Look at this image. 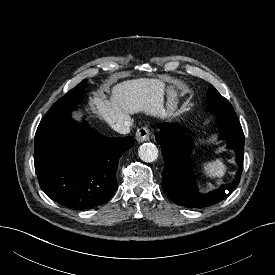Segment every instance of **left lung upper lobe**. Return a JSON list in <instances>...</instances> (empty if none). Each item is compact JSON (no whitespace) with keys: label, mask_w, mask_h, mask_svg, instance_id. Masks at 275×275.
<instances>
[{"label":"left lung upper lobe","mask_w":275,"mask_h":275,"mask_svg":"<svg viewBox=\"0 0 275 275\" xmlns=\"http://www.w3.org/2000/svg\"><path fill=\"white\" fill-rule=\"evenodd\" d=\"M206 101L208 111L217 117L220 125H240L237 115L229 101L221 96L213 85H209Z\"/></svg>","instance_id":"1"}]
</instances>
